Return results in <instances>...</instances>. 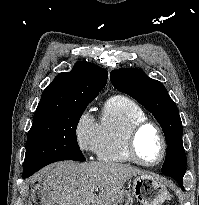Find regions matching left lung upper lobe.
<instances>
[{
    "label": "left lung upper lobe",
    "instance_id": "left-lung-upper-lobe-1",
    "mask_svg": "<svg viewBox=\"0 0 199 205\" xmlns=\"http://www.w3.org/2000/svg\"><path fill=\"white\" fill-rule=\"evenodd\" d=\"M110 79L118 91L128 94L154 115L168 145L162 172L183 183L187 159L182 142V122L167 89L161 82L133 68L113 70Z\"/></svg>",
    "mask_w": 199,
    "mask_h": 205
}]
</instances>
